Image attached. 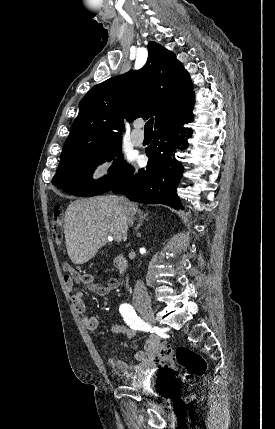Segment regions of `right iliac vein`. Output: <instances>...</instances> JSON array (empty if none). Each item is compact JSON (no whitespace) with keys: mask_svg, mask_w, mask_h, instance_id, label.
I'll return each mask as SVG.
<instances>
[{"mask_svg":"<svg viewBox=\"0 0 275 429\" xmlns=\"http://www.w3.org/2000/svg\"><path fill=\"white\" fill-rule=\"evenodd\" d=\"M137 309L147 323L155 324L154 311L149 303H140Z\"/></svg>","mask_w":275,"mask_h":429,"instance_id":"1","label":"right iliac vein"}]
</instances>
